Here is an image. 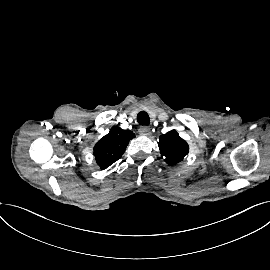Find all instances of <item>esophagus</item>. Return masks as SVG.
Instances as JSON below:
<instances>
[{"instance_id": "1", "label": "esophagus", "mask_w": 270, "mask_h": 270, "mask_svg": "<svg viewBox=\"0 0 270 270\" xmlns=\"http://www.w3.org/2000/svg\"><path fill=\"white\" fill-rule=\"evenodd\" d=\"M139 133H140V135L147 136L150 134V128L148 126H142L139 129Z\"/></svg>"}]
</instances>
